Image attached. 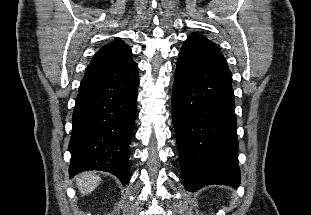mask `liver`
<instances>
[{
  "mask_svg": "<svg viewBox=\"0 0 311 215\" xmlns=\"http://www.w3.org/2000/svg\"><path fill=\"white\" fill-rule=\"evenodd\" d=\"M101 177L94 172H84L77 177L76 185L83 195L91 193L99 185Z\"/></svg>",
  "mask_w": 311,
  "mask_h": 215,
  "instance_id": "1",
  "label": "liver"
}]
</instances>
